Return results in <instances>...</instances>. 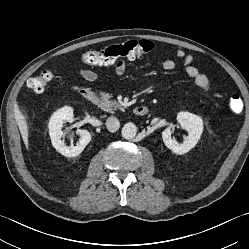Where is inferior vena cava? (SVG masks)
Returning a JSON list of instances; mask_svg holds the SVG:
<instances>
[{
    "label": "inferior vena cava",
    "mask_w": 249,
    "mask_h": 249,
    "mask_svg": "<svg viewBox=\"0 0 249 249\" xmlns=\"http://www.w3.org/2000/svg\"><path fill=\"white\" fill-rule=\"evenodd\" d=\"M106 127L110 132H116L120 127V122L116 117H109L106 120Z\"/></svg>",
    "instance_id": "obj_1"
}]
</instances>
